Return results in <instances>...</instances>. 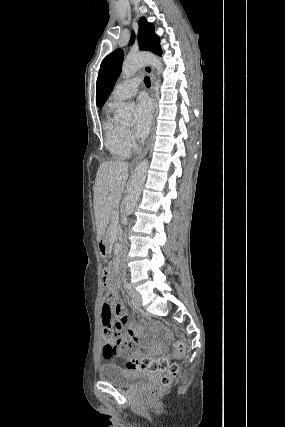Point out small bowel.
I'll list each match as a JSON object with an SVG mask.
<instances>
[{"label":"small bowel","instance_id":"obj_1","mask_svg":"<svg viewBox=\"0 0 285 427\" xmlns=\"http://www.w3.org/2000/svg\"><path fill=\"white\" fill-rule=\"evenodd\" d=\"M101 322L103 327L106 325L116 324L119 326L120 329H125V331L122 333L120 347L116 353L122 355L125 351H131V346L128 344V341L134 340L138 332L132 319L125 315L124 306L117 301L116 295L108 305H105L104 303L102 304ZM130 354L135 353L131 352Z\"/></svg>","mask_w":285,"mask_h":427}]
</instances>
